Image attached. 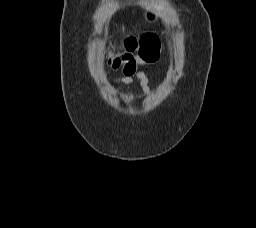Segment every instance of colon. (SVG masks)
Masks as SVG:
<instances>
[{"label":"colon","instance_id":"colon-1","mask_svg":"<svg viewBox=\"0 0 256 228\" xmlns=\"http://www.w3.org/2000/svg\"><path fill=\"white\" fill-rule=\"evenodd\" d=\"M119 49L125 53H139L147 59L156 60L160 53V43L154 34H144L139 38L130 36L121 42ZM116 50L117 48L114 45L111 46L110 62L120 56Z\"/></svg>","mask_w":256,"mask_h":228}]
</instances>
